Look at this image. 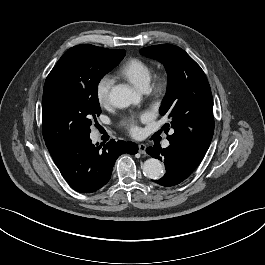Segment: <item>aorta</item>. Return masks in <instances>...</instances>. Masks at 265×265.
<instances>
[{
    "label": "aorta",
    "instance_id": "1",
    "mask_svg": "<svg viewBox=\"0 0 265 265\" xmlns=\"http://www.w3.org/2000/svg\"><path fill=\"white\" fill-rule=\"evenodd\" d=\"M110 101L117 108H126L131 104L140 102V95L129 86L117 85L110 91ZM145 177L149 179H159L163 174V166L158 159H147L142 165Z\"/></svg>",
    "mask_w": 265,
    "mask_h": 265
}]
</instances>
